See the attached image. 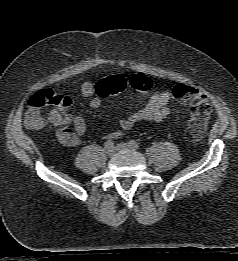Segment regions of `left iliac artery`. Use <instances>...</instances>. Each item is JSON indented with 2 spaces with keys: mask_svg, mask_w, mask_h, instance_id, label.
Masks as SVG:
<instances>
[{
  "mask_svg": "<svg viewBox=\"0 0 238 261\" xmlns=\"http://www.w3.org/2000/svg\"><path fill=\"white\" fill-rule=\"evenodd\" d=\"M132 148L134 149H139V143H137L136 141L134 140H130L129 143H128Z\"/></svg>",
  "mask_w": 238,
  "mask_h": 261,
  "instance_id": "1",
  "label": "left iliac artery"
}]
</instances>
